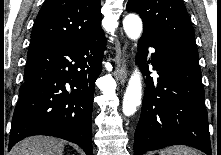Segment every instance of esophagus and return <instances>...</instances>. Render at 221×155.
<instances>
[{
  "instance_id": "34e87169",
  "label": "esophagus",
  "mask_w": 221,
  "mask_h": 155,
  "mask_svg": "<svg viewBox=\"0 0 221 155\" xmlns=\"http://www.w3.org/2000/svg\"><path fill=\"white\" fill-rule=\"evenodd\" d=\"M126 50H127V43H125L123 49H122V59H121V65L117 72V78L119 79L120 83L123 85L127 80L128 75V67H127V61H126Z\"/></svg>"
}]
</instances>
